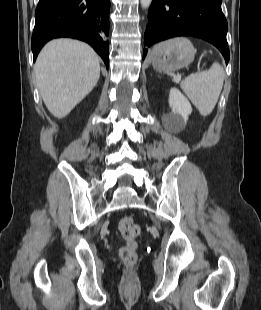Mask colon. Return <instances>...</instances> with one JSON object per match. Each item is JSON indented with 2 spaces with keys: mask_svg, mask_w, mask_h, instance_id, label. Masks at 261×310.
Masks as SVG:
<instances>
[{
  "mask_svg": "<svg viewBox=\"0 0 261 310\" xmlns=\"http://www.w3.org/2000/svg\"><path fill=\"white\" fill-rule=\"evenodd\" d=\"M118 230L125 241L119 250V256L124 264L131 266L137 261V238L141 229L132 216H124L120 219Z\"/></svg>",
  "mask_w": 261,
  "mask_h": 310,
  "instance_id": "colon-1",
  "label": "colon"
}]
</instances>
